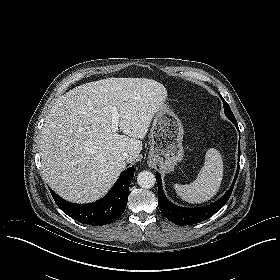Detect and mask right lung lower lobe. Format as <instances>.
Instances as JSON below:
<instances>
[{
	"label": "right lung lower lobe",
	"instance_id": "98d812e1",
	"mask_svg": "<svg viewBox=\"0 0 280 280\" xmlns=\"http://www.w3.org/2000/svg\"><path fill=\"white\" fill-rule=\"evenodd\" d=\"M134 166L124 170L112 190L101 200L89 204H74L60 198L50 190L57 206L73 219L90 225H105L116 221L124 212Z\"/></svg>",
	"mask_w": 280,
	"mask_h": 280
}]
</instances>
